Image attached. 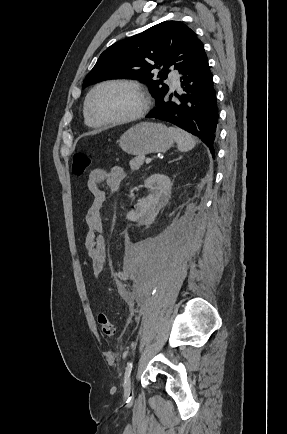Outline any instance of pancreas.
Returning a JSON list of instances; mask_svg holds the SVG:
<instances>
[{
    "instance_id": "obj_1",
    "label": "pancreas",
    "mask_w": 287,
    "mask_h": 434,
    "mask_svg": "<svg viewBox=\"0 0 287 434\" xmlns=\"http://www.w3.org/2000/svg\"><path fill=\"white\" fill-rule=\"evenodd\" d=\"M145 157L144 156H137L135 158H133L130 161V167L132 171H136L139 170L140 167L143 165Z\"/></svg>"
}]
</instances>
